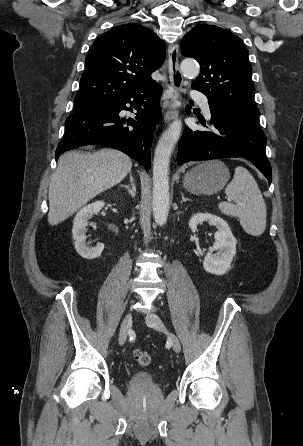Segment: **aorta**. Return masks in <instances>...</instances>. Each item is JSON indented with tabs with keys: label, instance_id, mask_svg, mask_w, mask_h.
I'll return each mask as SVG.
<instances>
[{
	"label": "aorta",
	"instance_id": "obj_1",
	"mask_svg": "<svg viewBox=\"0 0 303 446\" xmlns=\"http://www.w3.org/2000/svg\"><path fill=\"white\" fill-rule=\"evenodd\" d=\"M180 68L186 77L194 78L199 75V65L193 60H183ZM181 131L182 122L180 119H176L163 132L155 148L152 209L155 223L158 226H163L166 223L169 213V163Z\"/></svg>",
	"mask_w": 303,
	"mask_h": 446
}]
</instances>
